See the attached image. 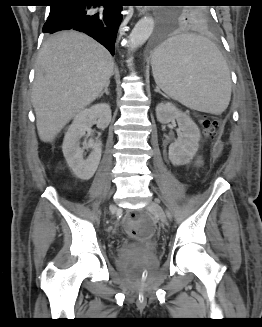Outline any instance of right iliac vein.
Masks as SVG:
<instances>
[{
  "instance_id": "obj_1",
  "label": "right iliac vein",
  "mask_w": 262,
  "mask_h": 327,
  "mask_svg": "<svg viewBox=\"0 0 262 327\" xmlns=\"http://www.w3.org/2000/svg\"><path fill=\"white\" fill-rule=\"evenodd\" d=\"M115 209V206H111L110 207V210L112 211V210H114Z\"/></svg>"
}]
</instances>
